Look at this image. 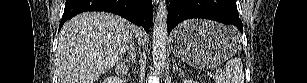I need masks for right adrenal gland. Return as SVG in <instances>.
Wrapping results in <instances>:
<instances>
[{
  "label": "right adrenal gland",
  "mask_w": 307,
  "mask_h": 83,
  "mask_svg": "<svg viewBox=\"0 0 307 83\" xmlns=\"http://www.w3.org/2000/svg\"><path fill=\"white\" fill-rule=\"evenodd\" d=\"M127 63L134 65L136 63L134 49L129 50V56L126 58Z\"/></svg>",
  "instance_id": "1"
}]
</instances>
